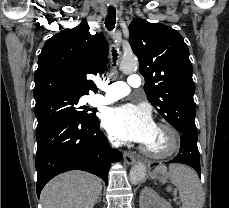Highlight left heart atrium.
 I'll list each match as a JSON object with an SVG mask.
<instances>
[{
    "label": "left heart atrium",
    "mask_w": 229,
    "mask_h": 208,
    "mask_svg": "<svg viewBox=\"0 0 229 208\" xmlns=\"http://www.w3.org/2000/svg\"><path fill=\"white\" fill-rule=\"evenodd\" d=\"M103 126L114 137L145 143L155 129L151 113L143 105L123 104L107 110Z\"/></svg>",
    "instance_id": "1"
}]
</instances>
